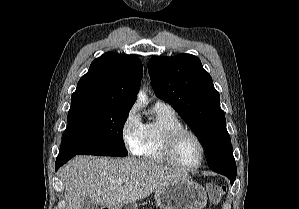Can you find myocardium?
<instances>
[{
    "mask_svg": "<svg viewBox=\"0 0 299 209\" xmlns=\"http://www.w3.org/2000/svg\"><path fill=\"white\" fill-rule=\"evenodd\" d=\"M184 135L192 136L201 148V159L200 162L195 166H185L177 159L178 142ZM164 152L172 166L184 171H193L199 169L204 164L206 158V147L200 136L194 131L184 127L171 130L166 134Z\"/></svg>",
    "mask_w": 299,
    "mask_h": 209,
    "instance_id": "obj_1",
    "label": "myocardium"
}]
</instances>
